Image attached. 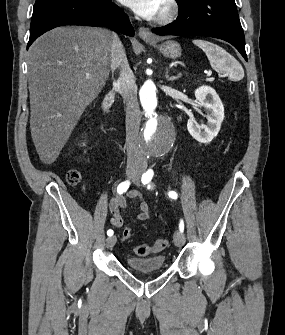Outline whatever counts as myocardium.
I'll return each instance as SVG.
<instances>
[{
  "label": "myocardium",
  "mask_w": 285,
  "mask_h": 335,
  "mask_svg": "<svg viewBox=\"0 0 285 335\" xmlns=\"http://www.w3.org/2000/svg\"><path fill=\"white\" fill-rule=\"evenodd\" d=\"M178 12L179 9L177 1H161L158 21L160 23L169 22L178 15Z\"/></svg>",
  "instance_id": "1"
}]
</instances>
